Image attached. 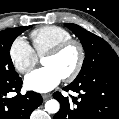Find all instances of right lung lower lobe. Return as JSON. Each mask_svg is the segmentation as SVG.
Instances as JSON below:
<instances>
[{
  "instance_id": "obj_1",
  "label": "right lung lower lobe",
  "mask_w": 119,
  "mask_h": 119,
  "mask_svg": "<svg viewBox=\"0 0 119 119\" xmlns=\"http://www.w3.org/2000/svg\"><path fill=\"white\" fill-rule=\"evenodd\" d=\"M22 79L19 76L0 78V119H29L30 114L43 101L40 94L33 91L20 94ZM16 92L12 98H6L7 93Z\"/></svg>"
}]
</instances>
